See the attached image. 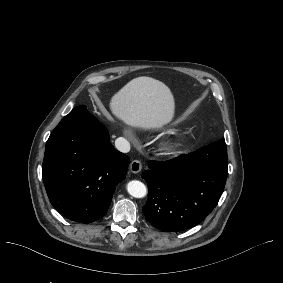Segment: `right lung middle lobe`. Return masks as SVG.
<instances>
[{"label":"right lung middle lobe","instance_id":"obj_1","mask_svg":"<svg viewBox=\"0 0 283 283\" xmlns=\"http://www.w3.org/2000/svg\"><path fill=\"white\" fill-rule=\"evenodd\" d=\"M75 116H93L89 114L86 110V106H78L74 108L68 115H66L63 119L75 117Z\"/></svg>","mask_w":283,"mask_h":283}]
</instances>
